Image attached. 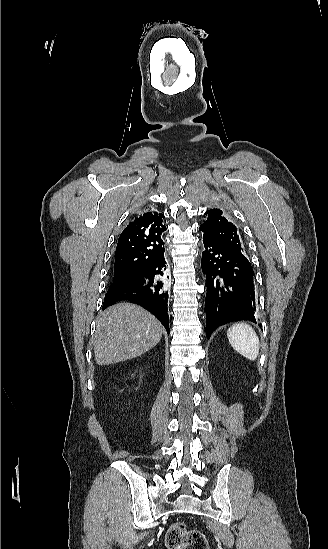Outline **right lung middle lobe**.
<instances>
[{
    "mask_svg": "<svg viewBox=\"0 0 328 549\" xmlns=\"http://www.w3.org/2000/svg\"><path fill=\"white\" fill-rule=\"evenodd\" d=\"M134 276H135V275L114 277L113 282L111 283L110 286H114V285H116V284H118V283H121V282H123V281H125V280H127V279H129V278H131V277H134Z\"/></svg>",
    "mask_w": 328,
    "mask_h": 549,
    "instance_id": "1",
    "label": "right lung middle lobe"
}]
</instances>
